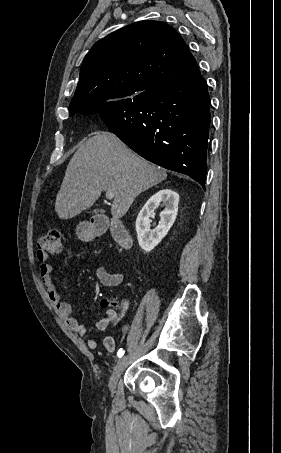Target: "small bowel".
<instances>
[{
  "mask_svg": "<svg viewBox=\"0 0 281 453\" xmlns=\"http://www.w3.org/2000/svg\"><path fill=\"white\" fill-rule=\"evenodd\" d=\"M40 277L43 285L45 286L46 293L49 301L54 305L58 313L63 317L67 325L80 336L87 335V328L85 324L76 316L73 315L72 309L67 302L61 300L60 294L55 286L52 276V268L48 263H42L39 268ZM96 276L103 286H119L123 282L124 275L120 272L110 273L105 271L102 267L96 269ZM129 304L126 301L121 302L119 312L115 309H108L105 316L96 324V329L100 332L108 330V328L119 321L122 317L127 315ZM103 345L109 355L116 348V340L113 335H107L103 340ZM86 346L89 349H96L98 341L96 337H87Z\"/></svg>",
  "mask_w": 281,
  "mask_h": 453,
  "instance_id": "obj_1",
  "label": "small bowel"
}]
</instances>
